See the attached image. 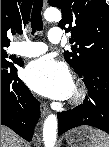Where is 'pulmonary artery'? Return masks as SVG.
<instances>
[{"mask_svg":"<svg viewBox=\"0 0 109 147\" xmlns=\"http://www.w3.org/2000/svg\"><path fill=\"white\" fill-rule=\"evenodd\" d=\"M47 38L51 43H58L62 41L63 34L60 31H53L48 33ZM47 50L48 48L45 43L33 41L18 42L12 47V52L14 54L28 58L40 56Z\"/></svg>","mask_w":109,"mask_h":147,"instance_id":"pulmonary-artery-1","label":"pulmonary artery"}]
</instances>
